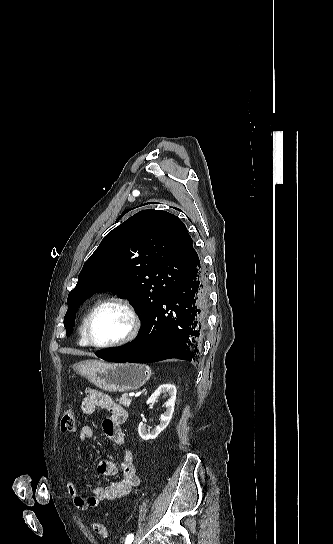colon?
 Segmentation results:
<instances>
[{"mask_svg":"<svg viewBox=\"0 0 333 544\" xmlns=\"http://www.w3.org/2000/svg\"><path fill=\"white\" fill-rule=\"evenodd\" d=\"M76 414L73 409H69L62 417L60 422V429L62 432H70L75 429ZM92 528L96 534L101 538L107 539L109 537L108 527L102 522H94Z\"/></svg>","mask_w":333,"mask_h":544,"instance_id":"colon-1","label":"colon"}]
</instances>
